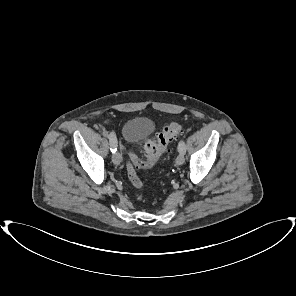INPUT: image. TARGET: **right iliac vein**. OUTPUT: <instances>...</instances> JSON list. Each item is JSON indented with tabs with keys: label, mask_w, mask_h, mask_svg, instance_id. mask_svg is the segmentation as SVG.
<instances>
[{
	"label": "right iliac vein",
	"mask_w": 296,
	"mask_h": 296,
	"mask_svg": "<svg viewBox=\"0 0 296 296\" xmlns=\"http://www.w3.org/2000/svg\"><path fill=\"white\" fill-rule=\"evenodd\" d=\"M112 161L115 165H119L121 163V155L119 152H115L113 154Z\"/></svg>",
	"instance_id": "right-iliac-vein-1"
}]
</instances>
